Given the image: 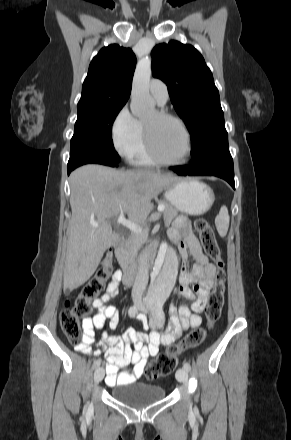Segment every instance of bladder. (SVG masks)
I'll list each match as a JSON object with an SVG mask.
<instances>
[{"label":"bladder","instance_id":"bladder-1","mask_svg":"<svg viewBox=\"0 0 291 440\" xmlns=\"http://www.w3.org/2000/svg\"><path fill=\"white\" fill-rule=\"evenodd\" d=\"M112 397L120 403L142 407L164 399L165 390L152 383L129 382L111 389Z\"/></svg>","mask_w":291,"mask_h":440}]
</instances>
